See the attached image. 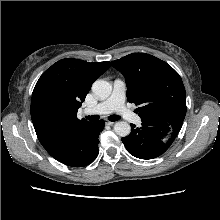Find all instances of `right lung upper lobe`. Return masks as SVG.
Listing matches in <instances>:
<instances>
[{
	"label": "right lung upper lobe",
	"mask_w": 220,
	"mask_h": 220,
	"mask_svg": "<svg viewBox=\"0 0 220 220\" xmlns=\"http://www.w3.org/2000/svg\"><path fill=\"white\" fill-rule=\"evenodd\" d=\"M109 67L110 62L66 58L53 64L37 81L31 118L40 143L51 156L89 124L77 118V111L93 82Z\"/></svg>",
	"instance_id": "obj_1"
}]
</instances>
